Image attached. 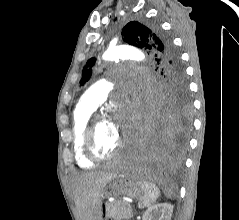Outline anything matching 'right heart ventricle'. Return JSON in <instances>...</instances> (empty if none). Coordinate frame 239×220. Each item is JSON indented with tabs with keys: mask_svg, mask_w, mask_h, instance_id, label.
Returning a JSON list of instances; mask_svg holds the SVG:
<instances>
[{
	"mask_svg": "<svg viewBox=\"0 0 239 220\" xmlns=\"http://www.w3.org/2000/svg\"><path fill=\"white\" fill-rule=\"evenodd\" d=\"M93 112L94 110L84 107L81 104H78L73 112L72 145L75 161L81 168H92L94 166V161L86 156L83 147L84 131Z\"/></svg>",
	"mask_w": 239,
	"mask_h": 220,
	"instance_id": "1",
	"label": "right heart ventricle"
}]
</instances>
